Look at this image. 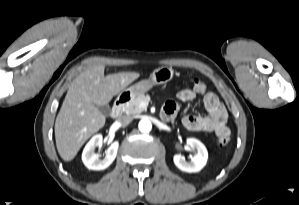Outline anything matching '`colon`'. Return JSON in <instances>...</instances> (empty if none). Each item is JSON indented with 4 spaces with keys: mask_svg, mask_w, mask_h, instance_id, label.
I'll return each instance as SVG.
<instances>
[{
    "mask_svg": "<svg viewBox=\"0 0 299 205\" xmlns=\"http://www.w3.org/2000/svg\"><path fill=\"white\" fill-rule=\"evenodd\" d=\"M207 88L206 85L198 79H194L193 81V91L198 94H204ZM230 141V135L225 134L218 138V144L220 146H226Z\"/></svg>",
    "mask_w": 299,
    "mask_h": 205,
    "instance_id": "colon-1",
    "label": "colon"
}]
</instances>
